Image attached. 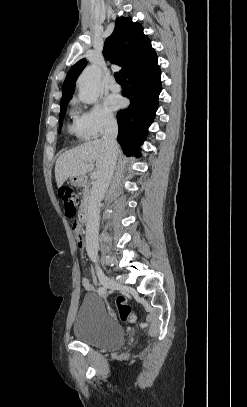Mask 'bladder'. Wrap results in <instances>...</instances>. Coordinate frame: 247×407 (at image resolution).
Masks as SVG:
<instances>
[{
  "instance_id": "1",
  "label": "bladder",
  "mask_w": 247,
  "mask_h": 407,
  "mask_svg": "<svg viewBox=\"0 0 247 407\" xmlns=\"http://www.w3.org/2000/svg\"><path fill=\"white\" fill-rule=\"evenodd\" d=\"M75 338L91 346L115 351L125 343V330L113 318L103 300L95 295L84 297L73 326Z\"/></svg>"
}]
</instances>
